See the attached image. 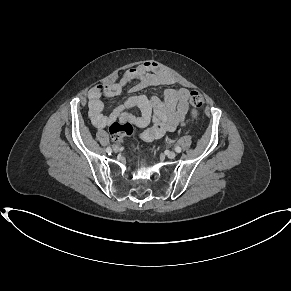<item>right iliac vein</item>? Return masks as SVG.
Returning a JSON list of instances; mask_svg holds the SVG:
<instances>
[{
  "label": "right iliac vein",
  "instance_id": "right-iliac-vein-1",
  "mask_svg": "<svg viewBox=\"0 0 291 291\" xmlns=\"http://www.w3.org/2000/svg\"><path fill=\"white\" fill-rule=\"evenodd\" d=\"M113 150H114V152H119L120 149H119L118 146H114V149Z\"/></svg>",
  "mask_w": 291,
  "mask_h": 291
}]
</instances>
